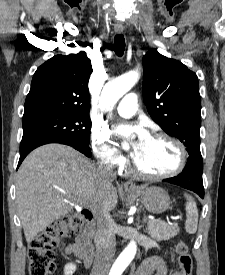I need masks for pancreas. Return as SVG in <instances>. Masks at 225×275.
Returning <instances> with one entry per match:
<instances>
[{"instance_id":"pancreas-1","label":"pancreas","mask_w":225,"mask_h":275,"mask_svg":"<svg viewBox=\"0 0 225 275\" xmlns=\"http://www.w3.org/2000/svg\"><path fill=\"white\" fill-rule=\"evenodd\" d=\"M180 232L175 224H169L162 220H149L147 233L156 241L169 240Z\"/></svg>"}]
</instances>
